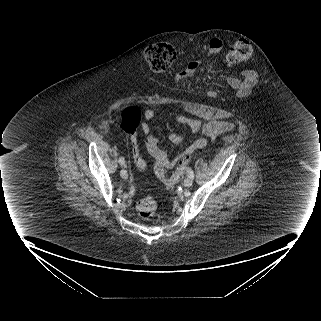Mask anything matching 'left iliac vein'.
<instances>
[{
    "mask_svg": "<svg viewBox=\"0 0 321 321\" xmlns=\"http://www.w3.org/2000/svg\"><path fill=\"white\" fill-rule=\"evenodd\" d=\"M193 184V179L191 177H187L185 180H184V186L186 188H190Z\"/></svg>",
    "mask_w": 321,
    "mask_h": 321,
    "instance_id": "4c4485c4",
    "label": "left iliac vein"
}]
</instances>
